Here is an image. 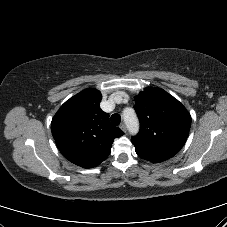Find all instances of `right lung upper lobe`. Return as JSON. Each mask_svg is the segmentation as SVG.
<instances>
[{
    "label": "right lung upper lobe",
    "mask_w": 227,
    "mask_h": 227,
    "mask_svg": "<svg viewBox=\"0 0 227 227\" xmlns=\"http://www.w3.org/2000/svg\"><path fill=\"white\" fill-rule=\"evenodd\" d=\"M101 98L98 90L85 89L66 101L51 122L61 154L83 168L98 166L110 154L114 139L124 134L101 110Z\"/></svg>",
    "instance_id": "obj_1"
}]
</instances>
